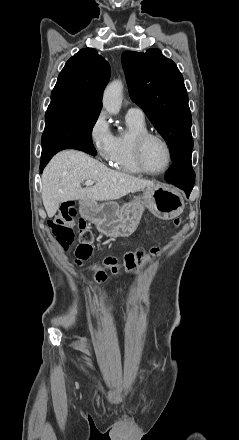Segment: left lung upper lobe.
<instances>
[{"label":"left lung upper lobe","instance_id":"5c2ea615","mask_svg":"<svg viewBox=\"0 0 239 440\" xmlns=\"http://www.w3.org/2000/svg\"><path fill=\"white\" fill-rule=\"evenodd\" d=\"M123 68L131 99L139 105L168 143L172 160L192 151V117L183 76L158 49L126 51Z\"/></svg>","mask_w":239,"mask_h":440}]
</instances>
